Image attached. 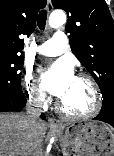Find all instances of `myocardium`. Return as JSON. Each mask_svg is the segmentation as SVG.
<instances>
[{
	"label": "myocardium",
	"instance_id": "obj_1",
	"mask_svg": "<svg viewBox=\"0 0 114 156\" xmlns=\"http://www.w3.org/2000/svg\"><path fill=\"white\" fill-rule=\"evenodd\" d=\"M76 77L87 81L91 86L93 91V96H94V102L92 108L86 113H81V114L70 113L63 107L61 101L58 100L56 102V109L60 115L68 119L82 120V119H88L94 117L99 113L102 107V96H101L99 85L96 82V80L88 73L80 72L76 75Z\"/></svg>",
	"mask_w": 114,
	"mask_h": 156
}]
</instances>
